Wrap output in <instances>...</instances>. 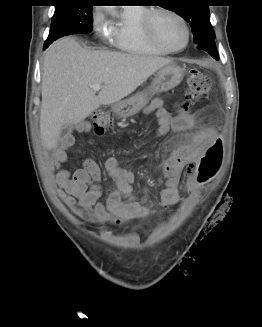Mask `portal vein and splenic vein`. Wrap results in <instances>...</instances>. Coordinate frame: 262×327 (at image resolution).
<instances>
[{
    "label": "portal vein and splenic vein",
    "instance_id": "obj_1",
    "mask_svg": "<svg viewBox=\"0 0 262 327\" xmlns=\"http://www.w3.org/2000/svg\"><path fill=\"white\" fill-rule=\"evenodd\" d=\"M91 88L93 89V91L97 92L102 88V86L100 84H95L92 85Z\"/></svg>",
    "mask_w": 262,
    "mask_h": 327
}]
</instances>
